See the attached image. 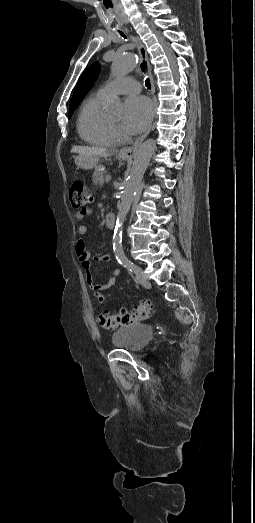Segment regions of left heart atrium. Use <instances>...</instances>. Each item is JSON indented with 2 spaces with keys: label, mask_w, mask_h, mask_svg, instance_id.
Returning <instances> with one entry per match:
<instances>
[{
  "label": "left heart atrium",
  "mask_w": 255,
  "mask_h": 523,
  "mask_svg": "<svg viewBox=\"0 0 255 523\" xmlns=\"http://www.w3.org/2000/svg\"><path fill=\"white\" fill-rule=\"evenodd\" d=\"M152 117L153 106L147 97H130L125 102L123 123L131 133H138L143 130Z\"/></svg>",
  "instance_id": "obj_1"
}]
</instances>
